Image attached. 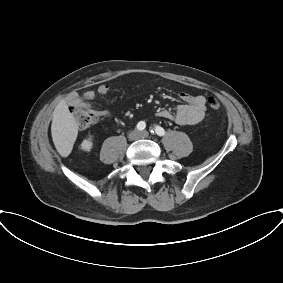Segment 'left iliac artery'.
I'll list each match as a JSON object with an SVG mask.
<instances>
[{
  "instance_id": "44dca946",
  "label": "left iliac artery",
  "mask_w": 283,
  "mask_h": 283,
  "mask_svg": "<svg viewBox=\"0 0 283 283\" xmlns=\"http://www.w3.org/2000/svg\"><path fill=\"white\" fill-rule=\"evenodd\" d=\"M151 133H153V134L155 133L158 136H163L165 134V130L162 127H160V126H156L154 131L151 130Z\"/></svg>"
}]
</instances>
